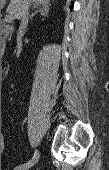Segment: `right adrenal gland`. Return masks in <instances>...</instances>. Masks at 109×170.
<instances>
[{"label": "right adrenal gland", "mask_w": 109, "mask_h": 170, "mask_svg": "<svg viewBox=\"0 0 109 170\" xmlns=\"http://www.w3.org/2000/svg\"><path fill=\"white\" fill-rule=\"evenodd\" d=\"M35 11L30 15L29 19L31 20L37 13H40L43 16H48L50 7L49 5L42 4L34 7Z\"/></svg>", "instance_id": "2a0ac1e0"}]
</instances>
